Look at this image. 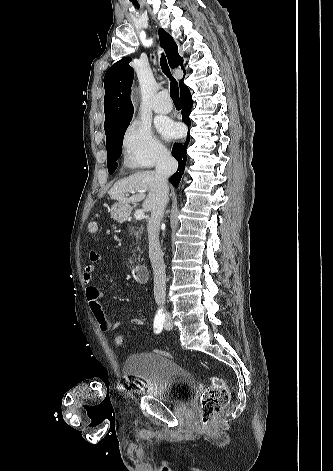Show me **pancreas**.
Instances as JSON below:
<instances>
[{
  "mask_svg": "<svg viewBox=\"0 0 333 471\" xmlns=\"http://www.w3.org/2000/svg\"><path fill=\"white\" fill-rule=\"evenodd\" d=\"M134 224H137L136 226H129L128 227V232L129 234L136 240V243H133L135 245H137L138 241L141 240V236L143 235V232H144V227L142 225H139L137 223V221H132ZM138 251H140L139 248H137ZM139 260V257L137 258ZM136 262V258L135 260L133 261L132 258H130V263L131 264H134Z\"/></svg>",
  "mask_w": 333,
  "mask_h": 471,
  "instance_id": "obj_1",
  "label": "pancreas"
}]
</instances>
